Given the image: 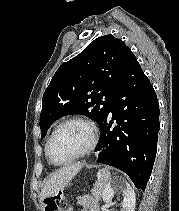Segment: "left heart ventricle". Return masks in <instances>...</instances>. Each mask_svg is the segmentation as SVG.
Returning <instances> with one entry per match:
<instances>
[{
  "label": "left heart ventricle",
  "mask_w": 179,
  "mask_h": 211,
  "mask_svg": "<svg viewBox=\"0 0 179 211\" xmlns=\"http://www.w3.org/2000/svg\"><path fill=\"white\" fill-rule=\"evenodd\" d=\"M90 141V132L82 123H69L55 135L50 152L57 162L67 161L83 151Z\"/></svg>",
  "instance_id": "left-heart-ventricle-1"
}]
</instances>
